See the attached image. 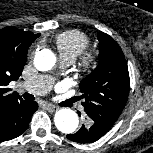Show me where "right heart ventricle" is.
Segmentation results:
<instances>
[{
    "label": "right heart ventricle",
    "instance_id": "1",
    "mask_svg": "<svg viewBox=\"0 0 153 153\" xmlns=\"http://www.w3.org/2000/svg\"><path fill=\"white\" fill-rule=\"evenodd\" d=\"M89 44L88 35L76 29L67 30L55 37V45L61 60L73 62Z\"/></svg>",
    "mask_w": 153,
    "mask_h": 153
}]
</instances>
